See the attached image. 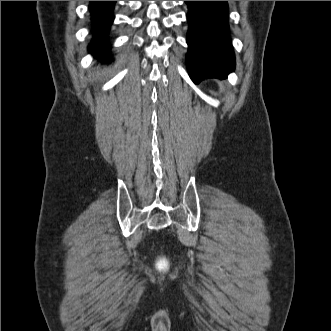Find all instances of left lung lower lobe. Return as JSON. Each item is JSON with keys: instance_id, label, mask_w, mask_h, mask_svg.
Listing matches in <instances>:
<instances>
[{"instance_id": "1", "label": "left lung lower lobe", "mask_w": 331, "mask_h": 331, "mask_svg": "<svg viewBox=\"0 0 331 331\" xmlns=\"http://www.w3.org/2000/svg\"><path fill=\"white\" fill-rule=\"evenodd\" d=\"M185 2L189 10L186 63L191 79L198 83L205 78H226L235 68L227 1Z\"/></svg>"}]
</instances>
